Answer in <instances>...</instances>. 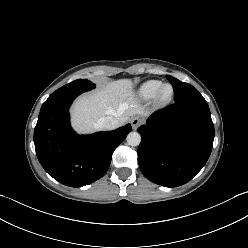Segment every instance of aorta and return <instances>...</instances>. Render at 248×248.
Wrapping results in <instances>:
<instances>
[{
    "label": "aorta",
    "mask_w": 248,
    "mask_h": 248,
    "mask_svg": "<svg viewBox=\"0 0 248 248\" xmlns=\"http://www.w3.org/2000/svg\"><path fill=\"white\" fill-rule=\"evenodd\" d=\"M127 143L130 146H138L141 142V135L138 132H130L127 135Z\"/></svg>",
    "instance_id": "aorta-1"
}]
</instances>
